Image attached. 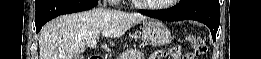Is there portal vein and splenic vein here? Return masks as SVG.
<instances>
[{
  "label": "portal vein and splenic vein",
  "mask_w": 261,
  "mask_h": 59,
  "mask_svg": "<svg viewBox=\"0 0 261 59\" xmlns=\"http://www.w3.org/2000/svg\"><path fill=\"white\" fill-rule=\"evenodd\" d=\"M96 43H97L96 39H93V40H91V41L88 43V46H89L90 48H93L94 46H96Z\"/></svg>",
  "instance_id": "1"
}]
</instances>
